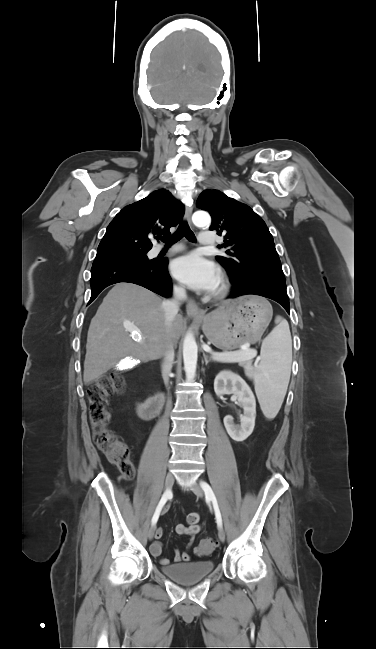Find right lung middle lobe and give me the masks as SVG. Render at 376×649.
Wrapping results in <instances>:
<instances>
[{
	"mask_svg": "<svg viewBox=\"0 0 376 649\" xmlns=\"http://www.w3.org/2000/svg\"><path fill=\"white\" fill-rule=\"evenodd\" d=\"M148 251H143V252H115V253H107V254H100L96 255V258L93 262V265L103 263V262H108V261H115V260H120V261H140V262H149L152 260H149L148 257L146 256V253Z\"/></svg>",
	"mask_w": 376,
	"mask_h": 649,
	"instance_id": "dd1d6c3e",
	"label": "right lung middle lobe"
}]
</instances>
